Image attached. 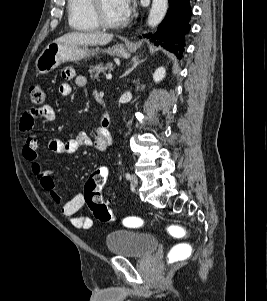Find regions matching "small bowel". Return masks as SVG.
Returning <instances> with one entry per match:
<instances>
[{"mask_svg": "<svg viewBox=\"0 0 267 301\" xmlns=\"http://www.w3.org/2000/svg\"><path fill=\"white\" fill-rule=\"evenodd\" d=\"M75 77L72 69L66 68L61 73V78L64 81L59 86V93L63 97L71 94L72 88L67 81ZM75 84L78 88L86 89L88 80L85 76H76ZM36 118H41L47 122H51L55 118V111L50 106H43L39 109H32L25 112L19 122V129L25 134V142L22 148V154L25 159L30 162L31 169L40 184V186L49 194L50 198L55 203L61 202L60 194L55 186L54 180L50 172L44 171L38 157L39 141L34 132V123ZM112 139L108 130L102 126L98 127L94 140L92 141L85 132H79L75 137L68 141H62L57 138H51L48 141L50 151L57 154H72L82 147L93 146L97 151L103 152L111 144ZM84 197L81 193H77L70 200L65 202L61 208L62 215L69 219L71 224L78 229L91 228L93 221L89 217H80L78 212L84 206Z\"/></svg>", "mask_w": 267, "mask_h": 301, "instance_id": "1", "label": "small bowel"}]
</instances>
